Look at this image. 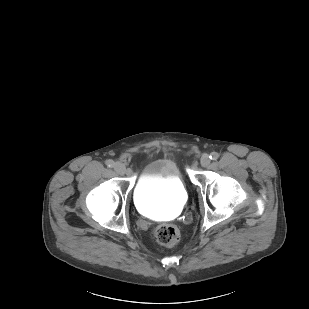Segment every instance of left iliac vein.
<instances>
[{"label":"left iliac vein","mask_w":309,"mask_h":309,"mask_svg":"<svg viewBox=\"0 0 309 309\" xmlns=\"http://www.w3.org/2000/svg\"><path fill=\"white\" fill-rule=\"evenodd\" d=\"M200 164L203 167H207L210 164V157L208 154H203L200 159Z\"/></svg>","instance_id":"4c4485c4"}]
</instances>
